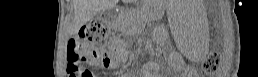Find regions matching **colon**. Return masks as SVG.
Masks as SVG:
<instances>
[{
    "label": "colon",
    "instance_id": "obj_1",
    "mask_svg": "<svg viewBox=\"0 0 258 77\" xmlns=\"http://www.w3.org/2000/svg\"><path fill=\"white\" fill-rule=\"evenodd\" d=\"M107 35L108 28L101 20H94L81 28L79 41L71 42L67 50V72L71 77H85L80 68L82 49L79 48V45L85 49L103 46L106 43ZM219 63V55L211 53L203 60L202 68L207 74H214L219 67Z\"/></svg>",
    "mask_w": 258,
    "mask_h": 77
}]
</instances>
